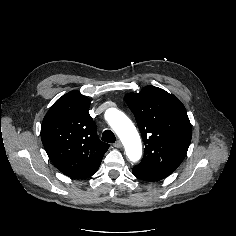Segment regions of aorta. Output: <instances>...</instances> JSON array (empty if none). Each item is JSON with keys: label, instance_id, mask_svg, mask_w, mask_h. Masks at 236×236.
I'll return each mask as SVG.
<instances>
[{"label": "aorta", "instance_id": "aorta-1", "mask_svg": "<svg viewBox=\"0 0 236 236\" xmlns=\"http://www.w3.org/2000/svg\"><path fill=\"white\" fill-rule=\"evenodd\" d=\"M105 117L122 141L129 160L132 162L138 161L142 155V145L140 136L132 121L116 108L108 109Z\"/></svg>", "mask_w": 236, "mask_h": 236}]
</instances>
